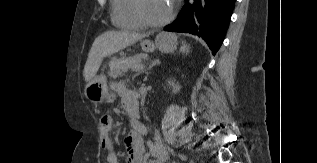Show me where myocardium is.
I'll use <instances>...</instances> for the list:
<instances>
[{"instance_id": "obj_1", "label": "myocardium", "mask_w": 317, "mask_h": 163, "mask_svg": "<svg viewBox=\"0 0 317 163\" xmlns=\"http://www.w3.org/2000/svg\"><path fill=\"white\" fill-rule=\"evenodd\" d=\"M134 7H135L136 15L138 19L141 21V23L147 27H152V28L163 27L167 25L168 23H170L172 19L174 18L177 11L176 1H173L171 11L166 18H164L161 21H152L146 15V12L144 9V0H135Z\"/></svg>"}]
</instances>
